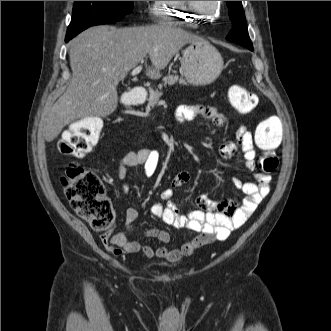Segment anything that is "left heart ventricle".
<instances>
[{"instance_id":"obj_1","label":"left heart ventricle","mask_w":331,"mask_h":331,"mask_svg":"<svg viewBox=\"0 0 331 331\" xmlns=\"http://www.w3.org/2000/svg\"><path fill=\"white\" fill-rule=\"evenodd\" d=\"M200 5L205 8H211L213 5V1H198Z\"/></svg>"}]
</instances>
